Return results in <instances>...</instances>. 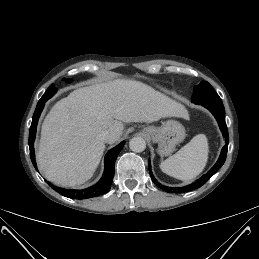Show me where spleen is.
Returning a JSON list of instances; mask_svg holds the SVG:
<instances>
[{
	"label": "spleen",
	"mask_w": 259,
	"mask_h": 259,
	"mask_svg": "<svg viewBox=\"0 0 259 259\" xmlns=\"http://www.w3.org/2000/svg\"><path fill=\"white\" fill-rule=\"evenodd\" d=\"M208 153L207 137L204 134H198L177 153L161 162L160 169L176 179L189 181L204 170Z\"/></svg>",
	"instance_id": "obj_1"
}]
</instances>
